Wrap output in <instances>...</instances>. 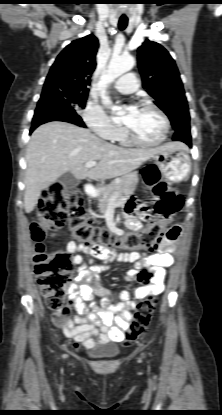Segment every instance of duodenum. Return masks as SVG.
Masks as SVG:
<instances>
[{
	"instance_id": "obj_1",
	"label": "duodenum",
	"mask_w": 222,
	"mask_h": 415,
	"mask_svg": "<svg viewBox=\"0 0 222 415\" xmlns=\"http://www.w3.org/2000/svg\"><path fill=\"white\" fill-rule=\"evenodd\" d=\"M86 194H87V196H88L89 198H93V197H94V195H95V189L93 188V186L88 185V186L86 187ZM99 254H100V253H99Z\"/></svg>"
}]
</instances>
